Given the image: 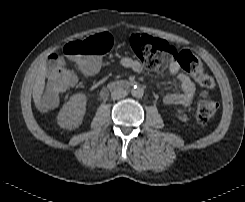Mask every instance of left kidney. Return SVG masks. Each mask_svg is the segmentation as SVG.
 <instances>
[{
  "label": "left kidney",
  "mask_w": 245,
  "mask_h": 202,
  "mask_svg": "<svg viewBox=\"0 0 245 202\" xmlns=\"http://www.w3.org/2000/svg\"><path fill=\"white\" fill-rule=\"evenodd\" d=\"M178 113L181 114L179 119L183 122H186L188 120L186 114H183V111L182 110H178Z\"/></svg>",
  "instance_id": "5707ae66"
}]
</instances>
